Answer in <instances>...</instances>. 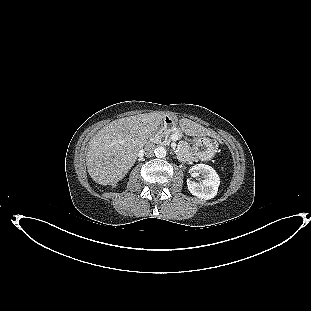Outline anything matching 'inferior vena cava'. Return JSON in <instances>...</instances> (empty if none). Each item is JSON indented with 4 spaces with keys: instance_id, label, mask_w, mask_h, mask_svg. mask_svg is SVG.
<instances>
[{
    "instance_id": "obj_1",
    "label": "inferior vena cava",
    "mask_w": 311,
    "mask_h": 311,
    "mask_svg": "<svg viewBox=\"0 0 311 311\" xmlns=\"http://www.w3.org/2000/svg\"><path fill=\"white\" fill-rule=\"evenodd\" d=\"M154 144L152 143H147L144 147V154L147 156V157H152L153 155V152H154Z\"/></svg>"
}]
</instances>
